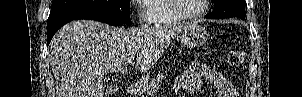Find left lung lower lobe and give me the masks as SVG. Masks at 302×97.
Returning <instances> with one entry per match:
<instances>
[{"label": "left lung lower lobe", "instance_id": "0a47b994", "mask_svg": "<svg viewBox=\"0 0 302 97\" xmlns=\"http://www.w3.org/2000/svg\"><path fill=\"white\" fill-rule=\"evenodd\" d=\"M206 18L208 19H217L216 17H214L211 13L206 15Z\"/></svg>", "mask_w": 302, "mask_h": 97}]
</instances>
